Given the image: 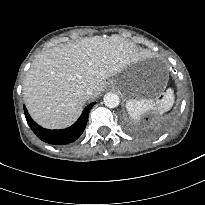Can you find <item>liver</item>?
Segmentation results:
<instances>
[{
    "label": "liver",
    "mask_w": 205,
    "mask_h": 205,
    "mask_svg": "<svg viewBox=\"0 0 205 205\" xmlns=\"http://www.w3.org/2000/svg\"><path fill=\"white\" fill-rule=\"evenodd\" d=\"M141 58L135 44L118 35L86 37L43 51L23 83L31 117L49 129L70 126L85 103L103 91L106 79ZM88 87L92 95L86 93Z\"/></svg>",
    "instance_id": "obj_1"
}]
</instances>
